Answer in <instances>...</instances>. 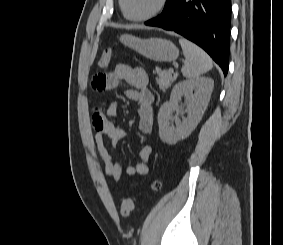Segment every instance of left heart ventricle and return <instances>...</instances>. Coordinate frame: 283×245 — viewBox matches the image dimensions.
I'll use <instances>...</instances> for the list:
<instances>
[{
  "instance_id": "obj_1",
  "label": "left heart ventricle",
  "mask_w": 283,
  "mask_h": 245,
  "mask_svg": "<svg viewBox=\"0 0 283 245\" xmlns=\"http://www.w3.org/2000/svg\"><path fill=\"white\" fill-rule=\"evenodd\" d=\"M159 0H125V9L128 15L140 17L153 11Z\"/></svg>"
}]
</instances>
